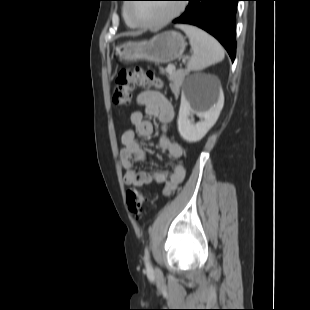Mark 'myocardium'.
Returning <instances> with one entry per match:
<instances>
[{
  "instance_id": "f54148a6",
  "label": "myocardium",
  "mask_w": 310,
  "mask_h": 310,
  "mask_svg": "<svg viewBox=\"0 0 310 310\" xmlns=\"http://www.w3.org/2000/svg\"><path fill=\"white\" fill-rule=\"evenodd\" d=\"M132 4H126L125 6V16L126 18L132 23L134 24L136 27H140V28H146V29H159L161 27H164L165 25L169 24L170 22H172L174 19H176L177 17H179L185 10V5L183 4H177L175 7V10L173 11L172 14H170L169 16H167L166 18L155 22V23H149V22H142L139 21L135 18H133L130 14V7Z\"/></svg>"
}]
</instances>
